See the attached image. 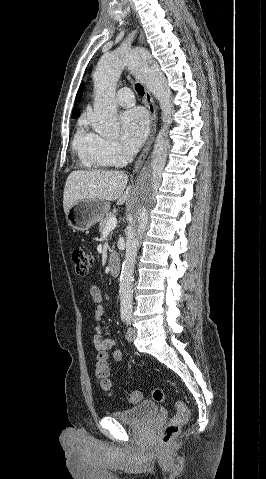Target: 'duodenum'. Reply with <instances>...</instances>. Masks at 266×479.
I'll return each instance as SVG.
<instances>
[{"label": "duodenum", "instance_id": "duodenum-1", "mask_svg": "<svg viewBox=\"0 0 266 479\" xmlns=\"http://www.w3.org/2000/svg\"><path fill=\"white\" fill-rule=\"evenodd\" d=\"M120 257L118 253L111 252L109 255V269L112 277H117L120 273Z\"/></svg>", "mask_w": 266, "mask_h": 479}]
</instances>
